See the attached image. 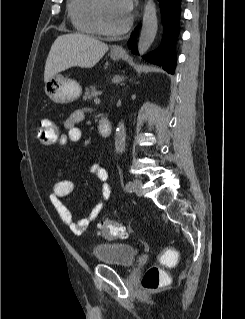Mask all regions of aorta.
<instances>
[{
	"label": "aorta",
	"instance_id": "762f6f07",
	"mask_svg": "<svg viewBox=\"0 0 245 319\" xmlns=\"http://www.w3.org/2000/svg\"><path fill=\"white\" fill-rule=\"evenodd\" d=\"M158 29L157 11L154 0H147L144 7L142 29L138 41V52L144 55L152 45ZM126 145V130L123 121H120L116 130L115 150L122 153Z\"/></svg>",
	"mask_w": 245,
	"mask_h": 319
}]
</instances>
